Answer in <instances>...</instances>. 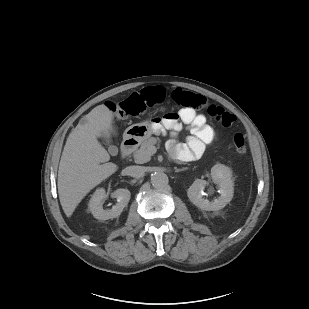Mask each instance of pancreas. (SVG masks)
I'll use <instances>...</instances> for the list:
<instances>
[{"label":"pancreas","mask_w":309,"mask_h":309,"mask_svg":"<svg viewBox=\"0 0 309 309\" xmlns=\"http://www.w3.org/2000/svg\"><path fill=\"white\" fill-rule=\"evenodd\" d=\"M158 139L151 137L148 140L144 141L140 148L133 153V157L136 163L143 164L151 159L150 148L154 147Z\"/></svg>","instance_id":"pancreas-1"}]
</instances>
